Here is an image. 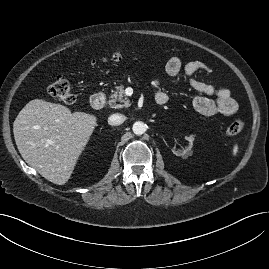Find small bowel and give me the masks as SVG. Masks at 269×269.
I'll use <instances>...</instances> for the list:
<instances>
[{
	"label": "small bowel",
	"mask_w": 269,
	"mask_h": 269,
	"mask_svg": "<svg viewBox=\"0 0 269 269\" xmlns=\"http://www.w3.org/2000/svg\"><path fill=\"white\" fill-rule=\"evenodd\" d=\"M165 70L172 78H177L181 73H184L189 79L190 86L202 94L193 99V107L200 114L204 116H213L215 114L231 116L237 112V102L229 90L217 88L194 78V75L201 70L210 71L204 63L192 60L184 64L180 58L171 57L166 62ZM152 85L155 89L156 100L160 96L166 98V94L160 88L159 81L155 80Z\"/></svg>",
	"instance_id": "obj_1"
}]
</instances>
